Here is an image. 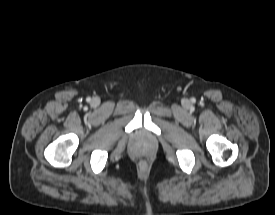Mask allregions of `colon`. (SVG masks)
Segmentation results:
<instances>
[{"instance_id": "1", "label": "colon", "mask_w": 275, "mask_h": 215, "mask_svg": "<svg viewBox=\"0 0 275 215\" xmlns=\"http://www.w3.org/2000/svg\"><path fill=\"white\" fill-rule=\"evenodd\" d=\"M141 167L143 168V167H145V163L143 162V163H141Z\"/></svg>"}]
</instances>
